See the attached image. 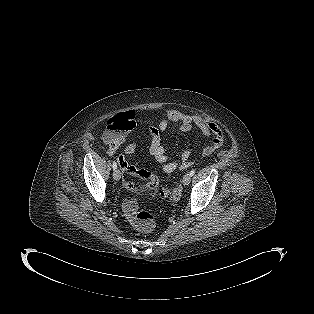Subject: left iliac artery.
Returning a JSON list of instances; mask_svg holds the SVG:
<instances>
[{
	"label": "left iliac artery",
	"instance_id": "obj_1",
	"mask_svg": "<svg viewBox=\"0 0 314 314\" xmlns=\"http://www.w3.org/2000/svg\"><path fill=\"white\" fill-rule=\"evenodd\" d=\"M195 174V170L190 171V175L193 176Z\"/></svg>",
	"mask_w": 314,
	"mask_h": 314
}]
</instances>
